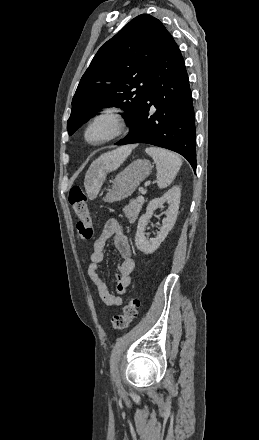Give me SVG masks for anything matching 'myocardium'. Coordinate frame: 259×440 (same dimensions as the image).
<instances>
[{
    "instance_id": "myocardium-1",
    "label": "myocardium",
    "mask_w": 259,
    "mask_h": 440,
    "mask_svg": "<svg viewBox=\"0 0 259 440\" xmlns=\"http://www.w3.org/2000/svg\"><path fill=\"white\" fill-rule=\"evenodd\" d=\"M106 121L111 125V132L100 140H90L88 138L89 130L98 122ZM127 129V118L122 107L111 105L96 111L85 123L82 129V139L90 146H100L121 137Z\"/></svg>"
}]
</instances>
